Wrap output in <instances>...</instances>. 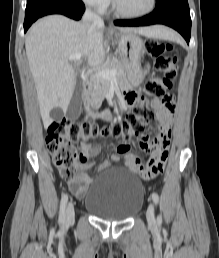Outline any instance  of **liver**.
<instances>
[{"mask_svg": "<svg viewBox=\"0 0 219 258\" xmlns=\"http://www.w3.org/2000/svg\"><path fill=\"white\" fill-rule=\"evenodd\" d=\"M118 30L162 38L165 29L153 26ZM104 31V26L77 23L62 15L44 17L29 29L25 39L26 55L45 125L52 122L50 111L60 107L65 112L72 98L76 75L69 57L82 54L91 67H98L105 61ZM172 36L176 38L173 33Z\"/></svg>", "mask_w": 219, "mask_h": 258, "instance_id": "1", "label": "liver"}]
</instances>
